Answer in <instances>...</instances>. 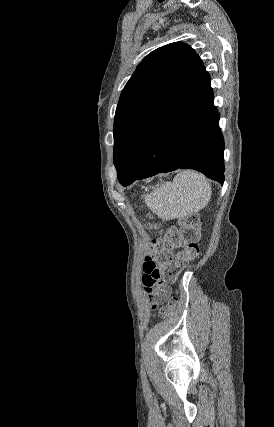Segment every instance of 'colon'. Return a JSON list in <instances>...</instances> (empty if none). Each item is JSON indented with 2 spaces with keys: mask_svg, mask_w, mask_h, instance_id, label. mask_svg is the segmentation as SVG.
I'll return each mask as SVG.
<instances>
[{
  "mask_svg": "<svg viewBox=\"0 0 274 427\" xmlns=\"http://www.w3.org/2000/svg\"><path fill=\"white\" fill-rule=\"evenodd\" d=\"M150 217V216H149ZM148 228H156L157 225L149 224ZM199 220L196 215L186 217L170 227L166 228L161 238V248H181L182 254H186L188 262L199 255ZM173 301L179 300L178 294L172 295ZM154 318H171L172 310L169 306L153 311Z\"/></svg>",
  "mask_w": 274,
  "mask_h": 427,
  "instance_id": "5ec220e1",
  "label": "colon"
}]
</instances>
